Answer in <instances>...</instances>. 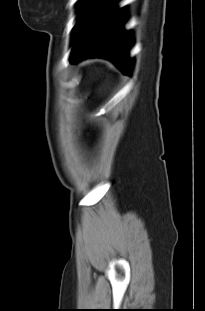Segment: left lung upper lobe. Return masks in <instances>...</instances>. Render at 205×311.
Returning a JSON list of instances; mask_svg holds the SVG:
<instances>
[{
  "mask_svg": "<svg viewBox=\"0 0 205 311\" xmlns=\"http://www.w3.org/2000/svg\"><path fill=\"white\" fill-rule=\"evenodd\" d=\"M120 0H80L78 20L73 31V48L79 46L114 12Z\"/></svg>",
  "mask_w": 205,
  "mask_h": 311,
  "instance_id": "1",
  "label": "left lung upper lobe"
}]
</instances>
